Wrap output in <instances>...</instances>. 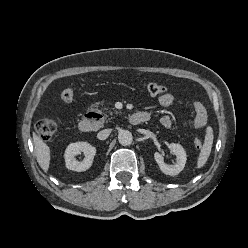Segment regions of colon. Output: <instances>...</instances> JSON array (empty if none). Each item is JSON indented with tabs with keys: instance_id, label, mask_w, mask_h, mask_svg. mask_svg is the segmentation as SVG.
I'll return each mask as SVG.
<instances>
[{
	"instance_id": "1",
	"label": "colon",
	"mask_w": 248,
	"mask_h": 248,
	"mask_svg": "<svg viewBox=\"0 0 248 248\" xmlns=\"http://www.w3.org/2000/svg\"><path fill=\"white\" fill-rule=\"evenodd\" d=\"M146 90L150 95L157 96V95H161L165 93L166 88L165 86L158 84V83H149L146 86ZM60 97L65 102H71L74 99V90L71 87H66L61 91ZM58 126L59 124L57 120L47 118V119L40 120L37 123L36 128H37L39 135L43 139L48 140L55 135L58 129ZM194 145L197 149H201L203 146L202 140L199 138H196L194 140Z\"/></svg>"
}]
</instances>
